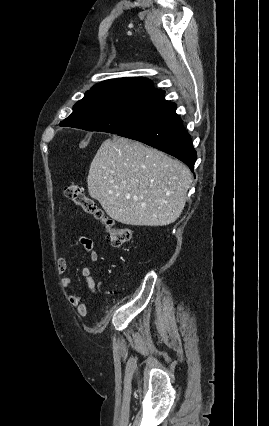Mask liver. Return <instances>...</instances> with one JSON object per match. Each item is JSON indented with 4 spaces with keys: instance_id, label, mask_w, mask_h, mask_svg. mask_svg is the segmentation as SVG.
<instances>
[{
    "instance_id": "1",
    "label": "liver",
    "mask_w": 269,
    "mask_h": 426,
    "mask_svg": "<svg viewBox=\"0 0 269 426\" xmlns=\"http://www.w3.org/2000/svg\"><path fill=\"white\" fill-rule=\"evenodd\" d=\"M191 182V172L183 163L125 137L101 144L87 177L90 197L107 215L135 226L175 222Z\"/></svg>"
}]
</instances>
